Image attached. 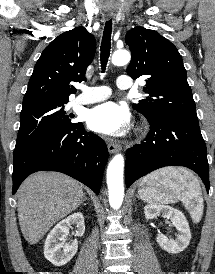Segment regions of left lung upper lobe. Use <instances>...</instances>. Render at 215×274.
<instances>
[{"mask_svg": "<svg viewBox=\"0 0 215 274\" xmlns=\"http://www.w3.org/2000/svg\"><path fill=\"white\" fill-rule=\"evenodd\" d=\"M125 40L132 52L127 73L133 79L147 77L143 91L149 96L133 104V108L147 120L175 117L198 122L186 70L177 48L158 32L143 27L129 30Z\"/></svg>", "mask_w": 215, "mask_h": 274, "instance_id": "1", "label": "left lung upper lobe"}]
</instances>
